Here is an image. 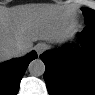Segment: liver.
I'll list each match as a JSON object with an SVG mask.
<instances>
[{
  "label": "liver",
  "instance_id": "obj_1",
  "mask_svg": "<svg viewBox=\"0 0 95 95\" xmlns=\"http://www.w3.org/2000/svg\"><path fill=\"white\" fill-rule=\"evenodd\" d=\"M72 11L54 4H26L0 10V61L14 57L16 45L25 53L38 40L59 42L75 32Z\"/></svg>",
  "mask_w": 95,
  "mask_h": 95
}]
</instances>
